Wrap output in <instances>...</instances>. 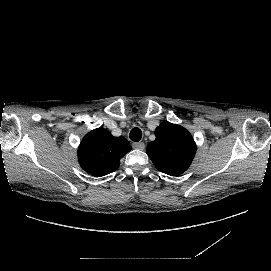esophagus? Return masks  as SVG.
<instances>
[{
  "instance_id": "34e87169",
  "label": "esophagus",
  "mask_w": 271,
  "mask_h": 271,
  "mask_svg": "<svg viewBox=\"0 0 271 271\" xmlns=\"http://www.w3.org/2000/svg\"><path fill=\"white\" fill-rule=\"evenodd\" d=\"M132 147L134 149L143 150L145 148V144L143 142H133Z\"/></svg>"
}]
</instances>
